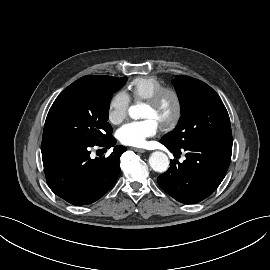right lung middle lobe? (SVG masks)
I'll use <instances>...</instances> for the list:
<instances>
[{
    "label": "right lung middle lobe",
    "mask_w": 270,
    "mask_h": 270,
    "mask_svg": "<svg viewBox=\"0 0 270 270\" xmlns=\"http://www.w3.org/2000/svg\"><path fill=\"white\" fill-rule=\"evenodd\" d=\"M126 80L127 77H89L69 85L48 112L42 142L102 144L112 133L107 122L110 99Z\"/></svg>",
    "instance_id": "dd1d6c3e"
}]
</instances>
